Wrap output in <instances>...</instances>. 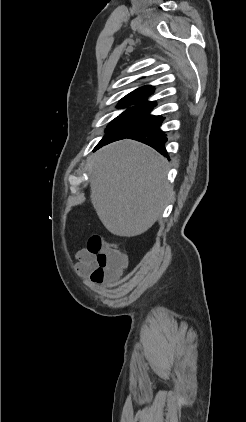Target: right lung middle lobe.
<instances>
[{
    "instance_id": "dd1d6c3e",
    "label": "right lung middle lobe",
    "mask_w": 246,
    "mask_h": 422,
    "mask_svg": "<svg viewBox=\"0 0 246 422\" xmlns=\"http://www.w3.org/2000/svg\"><path fill=\"white\" fill-rule=\"evenodd\" d=\"M150 112V109H127L124 111L108 125L106 135L95 149L113 141L125 139L162 117L151 115Z\"/></svg>"
}]
</instances>
